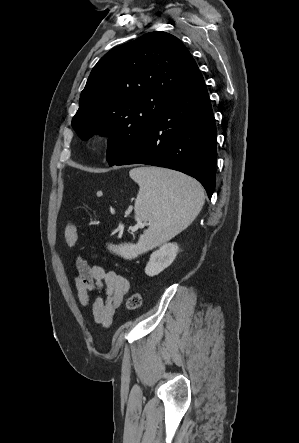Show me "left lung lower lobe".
I'll list each match as a JSON object with an SVG mask.
<instances>
[{
    "label": "left lung lower lobe",
    "mask_w": 299,
    "mask_h": 443,
    "mask_svg": "<svg viewBox=\"0 0 299 443\" xmlns=\"http://www.w3.org/2000/svg\"><path fill=\"white\" fill-rule=\"evenodd\" d=\"M216 158L214 116L204 78L197 70L174 93L140 140L114 165L147 164L183 172L196 178L211 198Z\"/></svg>",
    "instance_id": "1"
}]
</instances>
